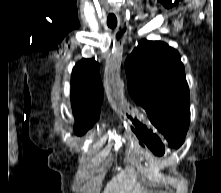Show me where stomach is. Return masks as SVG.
Instances as JSON below:
<instances>
[{
    "instance_id": "0dacf381",
    "label": "stomach",
    "mask_w": 221,
    "mask_h": 193,
    "mask_svg": "<svg viewBox=\"0 0 221 193\" xmlns=\"http://www.w3.org/2000/svg\"><path fill=\"white\" fill-rule=\"evenodd\" d=\"M108 101L113 103V107L120 115H123V120L132 130L129 137L133 142H129V147H127L130 155H134L135 152L149 155L150 152L153 159H162L163 155H168V150L162 142L165 133H158V129L150 120H144V115H138L136 104L129 102V98H109Z\"/></svg>"
}]
</instances>
